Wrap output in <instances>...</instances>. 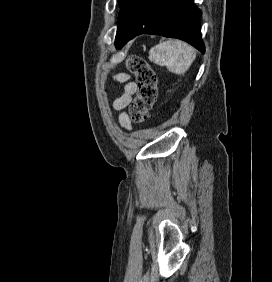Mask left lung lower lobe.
<instances>
[{"instance_id":"1","label":"left lung lower lobe","mask_w":272,"mask_h":282,"mask_svg":"<svg viewBox=\"0 0 272 282\" xmlns=\"http://www.w3.org/2000/svg\"><path fill=\"white\" fill-rule=\"evenodd\" d=\"M194 0H125L121 5L115 45L120 49L142 33L182 39L202 53L200 10Z\"/></svg>"}]
</instances>
